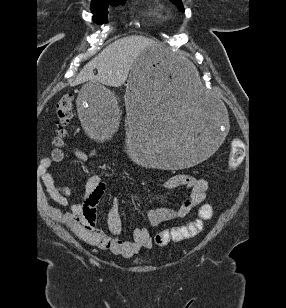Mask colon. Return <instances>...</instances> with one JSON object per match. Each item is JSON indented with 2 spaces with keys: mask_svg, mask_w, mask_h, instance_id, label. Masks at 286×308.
<instances>
[{
  "mask_svg": "<svg viewBox=\"0 0 286 308\" xmlns=\"http://www.w3.org/2000/svg\"><path fill=\"white\" fill-rule=\"evenodd\" d=\"M57 130L53 139L56 148L52 151V158L60 160L62 154L59 147L62 145L67 134V126L73 116V95L65 94L61 97L56 106ZM246 147L240 139H234L231 143L228 166L230 169L239 167L245 157ZM213 214L212 206L204 204L200 207L198 218L183 226L166 229L159 232L155 237L158 246H165L171 241H181L198 235L203 229V221L211 218Z\"/></svg>",
  "mask_w": 286,
  "mask_h": 308,
  "instance_id": "colon-1",
  "label": "colon"
}]
</instances>
